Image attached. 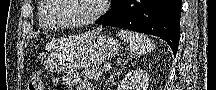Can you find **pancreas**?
I'll return each instance as SVG.
<instances>
[{
  "label": "pancreas",
  "mask_w": 216,
  "mask_h": 90,
  "mask_svg": "<svg viewBox=\"0 0 216 90\" xmlns=\"http://www.w3.org/2000/svg\"><path fill=\"white\" fill-rule=\"evenodd\" d=\"M82 74L85 80H98L99 67H87Z\"/></svg>",
  "instance_id": "obj_1"
}]
</instances>
